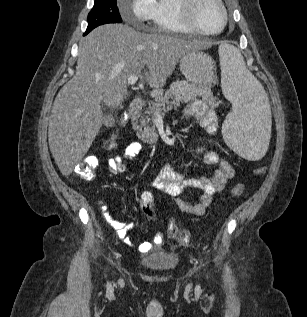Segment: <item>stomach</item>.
I'll use <instances>...</instances> for the list:
<instances>
[{
    "label": "stomach",
    "mask_w": 307,
    "mask_h": 317,
    "mask_svg": "<svg viewBox=\"0 0 307 317\" xmlns=\"http://www.w3.org/2000/svg\"><path fill=\"white\" fill-rule=\"evenodd\" d=\"M214 61L206 53L192 49L180 59V70L184 77L194 83L211 86L215 82Z\"/></svg>",
    "instance_id": "stomach-1"
}]
</instances>
